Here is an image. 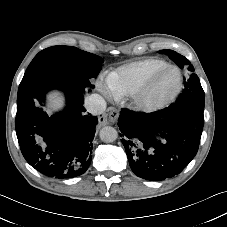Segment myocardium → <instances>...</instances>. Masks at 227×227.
I'll return each mask as SVG.
<instances>
[{
	"instance_id": "f54148a6",
	"label": "myocardium",
	"mask_w": 227,
	"mask_h": 227,
	"mask_svg": "<svg viewBox=\"0 0 227 227\" xmlns=\"http://www.w3.org/2000/svg\"><path fill=\"white\" fill-rule=\"evenodd\" d=\"M170 70H175L178 74L175 86L165 95L156 97L154 91L157 82L164 73ZM182 81L183 76L181 70L176 66L167 65L154 73L140 89L131 95V104L138 111H158L167 106L178 95L182 87Z\"/></svg>"
}]
</instances>
